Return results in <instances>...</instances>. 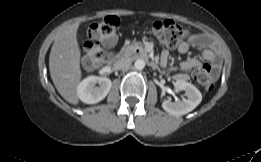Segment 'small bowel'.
I'll return each instance as SVG.
<instances>
[{"mask_svg": "<svg viewBox=\"0 0 261 162\" xmlns=\"http://www.w3.org/2000/svg\"><path fill=\"white\" fill-rule=\"evenodd\" d=\"M206 41V36L202 33H197L191 36L189 41H185L179 44L178 52L180 54H185L189 51L191 46H197L200 49V54L202 58L212 64V69L209 70L213 77H215L221 67V59L215 50L208 49L204 47ZM181 68L183 70H193V69H204L202 63L196 59H189L181 63Z\"/></svg>", "mask_w": 261, "mask_h": 162, "instance_id": "small-bowel-1", "label": "small bowel"}]
</instances>
